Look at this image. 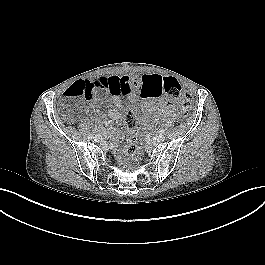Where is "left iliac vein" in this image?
I'll return each instance as SVG.
<instances>
[{
    "mask_svg": "<svg viewBox=\"0 0 265 265\" xmlns=\"http://www.w3.org/2000/svg\"><path fill=\"white\" fill-rule=\"evenodd\" d=\"M155 142L161 143L165 140V136L163 134H158L153 139Z\"/></svg>",
    "mask_w": 265,
    "mask_h": 265,
    "instance_id": "1",
    "label": "left iliac vein"
}]
</instances>
